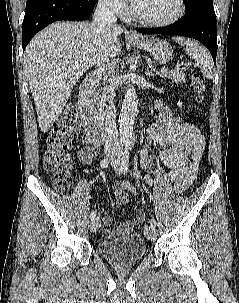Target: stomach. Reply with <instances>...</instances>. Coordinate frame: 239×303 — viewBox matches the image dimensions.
<instances>
[{"label":"stomach","instance_id":"stomach-1","mask_svg":"<svg viewBox=\"0 0 239 303\" xmlns=\"http://www.w3.org/2000/svg\"><path fill=\"white\" fill-rule=\"evenodd\" d=\"M129 42L150 53L159 63H166L171 57L172 48L165 40L141 36L137 39H130Z\"/></svg>","mask_w":239,"mask_h":303}]
</instances>
